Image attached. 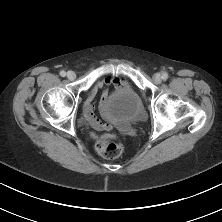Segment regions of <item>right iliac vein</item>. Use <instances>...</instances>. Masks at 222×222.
Returning a JSON list of instances; mask_svg holds the SVG:
<instances>
[{
    "label": "right iliac vein",
    "instance_id": "63e3f726",
    "mask_svg": "<svg viewBox=\"0 0 222 222\" xmlns=\"http://www.w3.org/2000/svg\"><path fill=\"white\" fill-rule=\"evenodd\" d=\"M67 78H68L69 80H74V79L76 78L75 72H73V71H68V72H67Z\"/></svg>",
    "mask_w": 222,
    "mask_h": 222
}]
</instances>
